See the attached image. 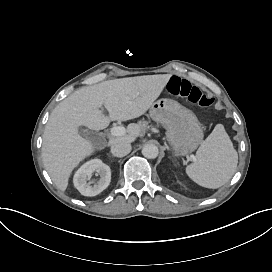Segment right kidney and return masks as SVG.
<instances>
[{
	"label": "right kidney",
	"instance_id": "ca27d5eb",
	"mask_svg": "<svg viewBox=\"0 0 272 272\" xmlns=\"http://www.w3.org/2000/svg\"><path fill=\"white\" fill-rule=\"evenodd\" d=\"M93 173L100 179L89 181ZM111 181V169L100 159H92L84 163L75 173L73 183L75 188L84 196H96L105 190ZM94 184V185H92Z\"/></svg>",
	"mask_w": 272,
	"mask_h": 272
}]
</instances>
